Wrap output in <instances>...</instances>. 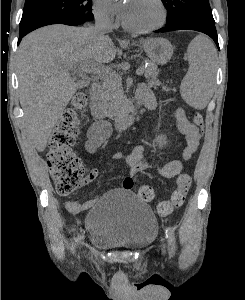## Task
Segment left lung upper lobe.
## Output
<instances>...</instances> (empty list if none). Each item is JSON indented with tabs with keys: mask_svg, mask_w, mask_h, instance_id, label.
I'll use <instances>...</instances> for the list:
<instances>
[{
	"mask_svg": "<svg viewBox=\"0 0 245 300\" xmlns=\"http://www.w3.org/2000/svg\"><path fill=\"white\" fill-rule=\"evenodd\" d=\"M167 9L166 25L183 17H195L215 22L209 0H161Z\"/></svg>",
	"mask_w": 245,
	"mask_h": 300,
	"instance_id": "left-lung-upper-lobe-1",
	"label": "left lung upper lobe"
}]
</instances>
